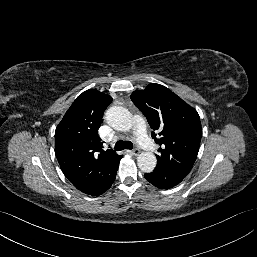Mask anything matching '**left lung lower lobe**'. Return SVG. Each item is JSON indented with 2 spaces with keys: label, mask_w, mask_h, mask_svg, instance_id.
<instances>
[{
  "label": "left lung lower lobe",
  "mask_w": 257,
  "mask_h": 257,
  "mask_svg": "<svg viewBox=\"0 0 257 257\" xmlns=\"http://www.w3.org/2000/svg\"><path fill=\"white\" fill-rule=\"evenodd\" d=\"M144 176L151 184L161 189L174 187L184 179L159 167H156L152 173H147Z\"/></svg>",
  "instance_id": "0a47b994"
}]
</instances>
